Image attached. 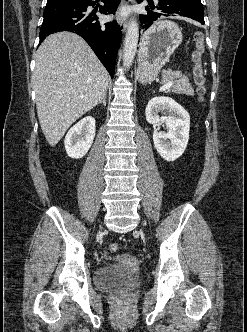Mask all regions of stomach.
Wrapping results in <instances>:
<instances>
[{"instance_id": "0dacf381", "label": "stomach", "mask_w": 247, "mask_h": 332, "mask_svg": "<svg viewBox=\"0 0 247 332\" xmlns=\"http://www.w3.org/2000/svg\"><path fill=\"white\" fill-rule=\"evenodd\" d=\"M181 29L172 21L155 22L142 36L138 54V79L150 82L182 42Z\"/></svg>"}]
</instances>
